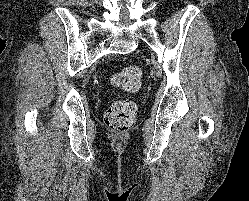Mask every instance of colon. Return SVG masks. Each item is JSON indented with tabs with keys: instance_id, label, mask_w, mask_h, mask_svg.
I'll return each mask as SVG.
<instances>
[{
	"instance_id": "5ec220e1",
	"label": "colon",
	"mask_w": 249,
	"mask_h": 201,
	"mask_svg": "<svg viewBox=\"0 0 249 201\" xmlns=\"http://www.w3.org/2000/svg\"><path fill=\"white\" fill-rule=\"evenodd\" d=\"M142 73L136 67H127L113 74V85L127 91H135L140 87ZM137 107L130 100L115 101L106 111L104 122L106 127L114 132H125L132 128L135 122Z\"/></svg>"
}]
</instances>
